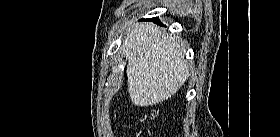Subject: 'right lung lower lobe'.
Masks as SVG:
<instances>
[{"label":"right lung lower lobe","mask_w":280,"mask_h":137,"mask_svg":"<svg viewBox=\"0 0 280 137\" xmlns=\"http://www.w3.org/2000/svg\"><path fill=\"white\" fill-rule=\"evenodd\" d=\"M149 20L159 23V19L157 17L149 19Z\"/></svg>","instance_id":"98d812e1"}]
</instances>
